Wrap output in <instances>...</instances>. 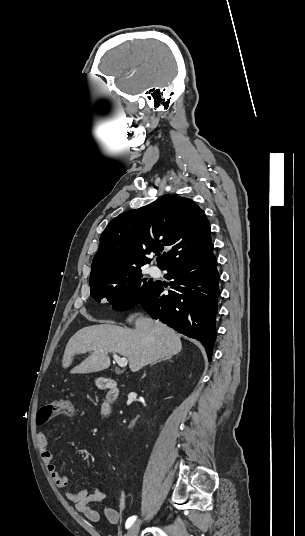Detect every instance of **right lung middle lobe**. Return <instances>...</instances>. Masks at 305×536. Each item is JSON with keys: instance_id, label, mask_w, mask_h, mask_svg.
I'll return each mask as SVG.
<instances>
[{"instance_id": "right-lung-middle-lobe-1", "label": "right lung middle lobe", "mask_w": 305, "mask_h": 536, "mask_svg": "<svg viewBox=\"0 0 305 536\" xmlns=\"http://www.w3.org/2000/svg\"><path fill=\"white\" fill-rule=\"evenodd\" d=\"M143 278L141 269L108 279L90 282V294L100 302L107 299L112 308L118 311L128 310L137 304L150 292L156 284Z\"/></svg>"}]
</instances>
